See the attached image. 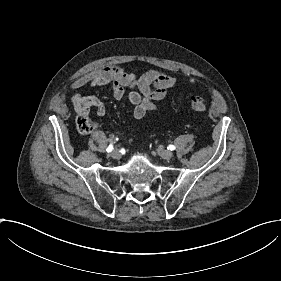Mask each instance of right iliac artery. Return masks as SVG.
<instances>
[{
    "label": "right iliac artery",
    "mask_w": 281,
    "mask_h": 281,
    "mask_svg": "<svg viewBox=\"0 0 281 281\" xmlns=\"http://www.w3.org/2000/svg\"><path fill=\"white\" fill-rule=\"evenodd\" d=\"M118 140V138L116 139ZM113 150V146L112 145H109V147L106 149V151L109 153Z\"/></svg>",
    "instance_id": "1"
}]
</instances>
